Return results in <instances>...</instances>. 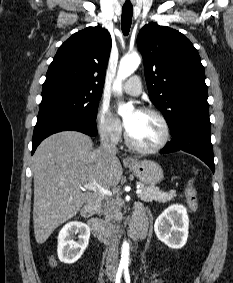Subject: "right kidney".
<instances>
[{"mask_svg":"<svg viewBox=\"0 0 233 283\" xmlns=\"http://www.w3.org/2000/svg\"><path fill=\"white\" fill-rule=\"evenodd\" d=\"M74 234H78V240L74 241ZM90 238L89 227L82 222H69L58 235V258L65 264L75 263L88 246Z\"/></svg>","mask_w":233,"mask_h":283,"instance_id":"right-kidney-1","label":"right kidney"}]
</instances>
